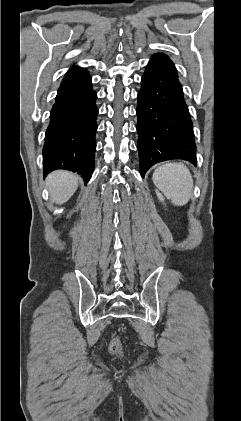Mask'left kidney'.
<instances>
[{"label":"left kidney","instance_id":"left-kidney-1","mask_svg":"<svg viewBox=\"0 0 241 421\" xmlns=\"http://www.w3.org/2000/svg\"><path fill=\"white\" fill-rule=\"evenodd\" d=\"M156 194H157V197H158V199H159L160 201H164V197L162 196V194H161L160 192H158V191L156 190Z\"/></svg>","mask_w":241,"mask_h":421}]
</instances>
